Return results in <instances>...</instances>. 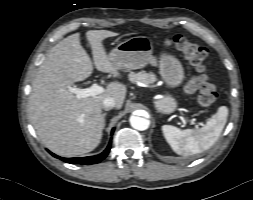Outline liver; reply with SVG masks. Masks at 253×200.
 <instances>
[{"mask_svg": "<svg viewBox=\"0 0 253 200\" xmlns=\"http://www.w3.org/2000/svg\"><path fill=\"white\" fill-rule=\"evenodd\" d=\"M115 35L108 30L86 32L96 69L119 77V68L110 62L102 44ZM92 72L91 59L81 46L80 34L75 33L47 53L32 81L29 119L45 147L59 156L75 157L93 151L102 137L103 100L113 98L117 109L123 105L127 88L120 83H110L103 93L85 98L68 90Z\"/></svg>", "mask_w": 253, "mask_h": 200, "instance_id": "liver-1", "label": "liver"}]
</instances>
